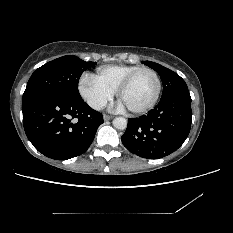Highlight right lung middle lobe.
Returning <instances> with one entry per match:
<instances>
[{"mask_svg": "<svg viewBox=\"0 0 233 233\" xmlns=\"http://www.w3.org/2000/svg\"><path fill=\"white\" fill-rule=\"evenodd\" d=\"M95 64L85 62L74 55L50 61L34 71L27 83L22 100L45 93L80 98L78 91L80 76Z\"/></svg>", "mask_w": 233, "mask_h": 233, "instance_id": "obj_1", "label": "right lung middle lobe"}]
</instances>
